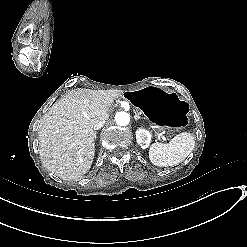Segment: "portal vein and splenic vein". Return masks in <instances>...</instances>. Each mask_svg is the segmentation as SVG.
Listing matches in <instances>:
<instances>
[{"instance_id":"1","label":"portal vein and splenic vein","mask_w":247,"mask_h":247,"mask_svg":"<svg viewBox=\"0 0 247 247\" xmlns=\"http://www.w3.org/2000/svg\"><path fill=\"white\" fill-rule=\"evenodd\" d=\"M160 137H161V139L164 140V142H165L166 144H169L168 139H166V137H165L163 134H160Z\"/></svg>"}]
</instances>
